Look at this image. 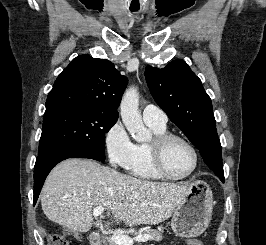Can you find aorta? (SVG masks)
Returning a JSON list of instances; mask_svg holds the SVG:
<instances>
[{
    "instance_id": "obj_1",
    "label": "aorta",
    "mask_w": 266,
    "mask_h": 245,
    "mask_svg": "<svg viewBox=\"0 0 266 245\" xmlns=\"http://www.w3.org/2000/svg\"><path fill=\"white\" fill-rule=\"evenodd\" d=\"M139 92L136 86L125 90L120 102L121 118L135 141H149L150 133L144 127L141 112H139Z\"/></svg>"
}]
</instances>
